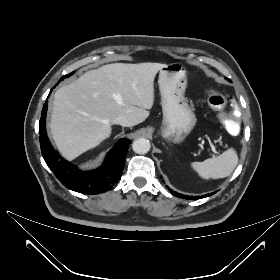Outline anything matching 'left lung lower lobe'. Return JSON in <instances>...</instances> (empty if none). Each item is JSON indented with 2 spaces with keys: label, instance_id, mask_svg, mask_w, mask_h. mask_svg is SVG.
Listing matches in <instances>:
<instances>
[{
  "label": "left lung lower lobe",
  "instance_id": "obj_1",
  "mask_svg": "<svg viewBox=\"0 0 280 280\" xmlns=\"http://www.w3.org/2000/svg\"><path fill=\"white\" fill-rule=\"evenodd\" d=\"M167 189L175 196L179 197V198H183V199H200V198H204V197H207L209 196V194H206L204 196H187V195H183V194H180V193H177V192H174L173 190H171L168 186H166ZM213 193H211L210 195H212Z\"/></svg>",
  "mask_w": 280,
  "mask_h": 280
}]
</instances>
